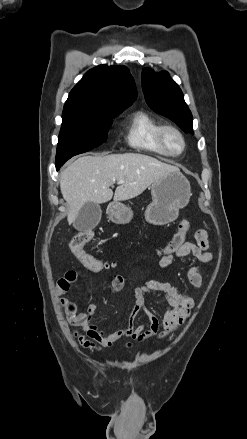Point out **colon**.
Here are the masks:
<instances>
[{
    "label": "colon",
    "instance_id": "obj_1",
    "mask_svg": "<svg viewBox=\"0 0 247 439\" xmlns=\"http://www.w3.org/2000/svg\"><path fill=\"white\" fill-rule=\"evenodd\" d=\"M190 228V223L187 220H182L176 230V233L172 237V239L168 242V244L164 247L163 253L164 254H172L176 252L181 245L184 243L185 236ZM93 238V232L90 230H82L77 232L71 242H70V249L72 253L75 255V257L80 261V263L88 270L93 272H99L106 268H108L110 265L89 254L84 250V246L90 242Z\"/></svg>",
    "mask_w": 247,
    "mask_h": 439
}]
</instances>
